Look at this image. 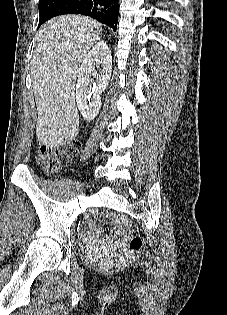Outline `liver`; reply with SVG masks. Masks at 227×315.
Wrapping results in <instances>:
<instances>
[{
  "instance_id": "6515ba94",
  "label": "liver",
  "mask_w": 227,
  "mask_h": 315,
  "mask_svg": "<svg viewBox=\"0 0 227 315\" xmlns=\"http://www.w3.org/2000/svg\"><path fill=\"white\" fill-rule=\"evenodd\" d=\"M101 34V24L82 15L58 16L41 26L31 60L38 112L36 136L40 144L57 147L76 138L79 131L76 79Z\"/></svg>"
}]
</instances>
